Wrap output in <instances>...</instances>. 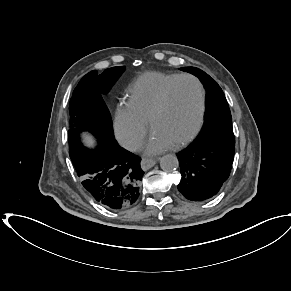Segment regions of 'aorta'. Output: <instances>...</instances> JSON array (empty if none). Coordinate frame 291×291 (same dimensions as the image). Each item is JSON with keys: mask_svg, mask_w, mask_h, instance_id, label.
Listing matches in <instances>:
<instances>
[{"mask_svg": "<svg viewBox=\"0 0 291 291\" xmlns=\"http://www.w3.org/2000/svg\"><path fill=\"white\" fill-rule=\"evenodd\" d=\"M179 162L175 155L167 154L164 155L160 160V167L162 170L171 172L178 168Z\"/></svg>", "mask_w": 291, "mask_h": 291, "instance_id": "aorta-1", "label": "aorta"}]
</instances>
